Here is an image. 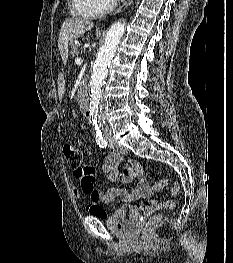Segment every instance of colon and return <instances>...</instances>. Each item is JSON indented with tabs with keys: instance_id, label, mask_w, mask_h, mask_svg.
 <instances>
[{
	"instance_id": "obj_1",
	"label": "colon",
	"mask_w": 233,
	"mask_h": 263,
	"mask_svg": "<svg viewBox=\"0 0 233 263\" xmlns=\"http://www.w3.org/2000/svg\"><path fill=\"white\" fill-rule=\"evenodd\" d=\"M63 151H64L65 158L68 162V165L72 169H74L75 174H78V175L87 174L89 172V169L84 168V166H82L83 155H82L81 150L75 144L67 143L64 146ZM167 185H168V181L163 179L154 184V189L163 190L167 187ZM178 193H179V185L174 184L171 190V197L164 202V208L169 209V210L174 208L175 204H174L173 198L177 196ZM162 218L163 216L160 214L155 215L152 218H150L144 225V232L148 233L152 228H154L157 224H159L162 221Z\"/></svg>"
}]
</instances>
